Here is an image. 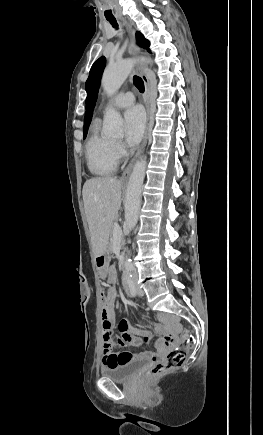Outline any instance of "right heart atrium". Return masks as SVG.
Wrapping results in <instances>:
<instances>
[{"instance_id":"obj_1","label":"right heart atrium","mask_w":263,"mask_h":435,"mask_svg":"<svg viewBox=\"0 0 263 435\" xmlns=\"http://www.w3.org/2000/svg\"><path fill=\"white\" fill-rule=\"evenodd\" d=\"M115 152L118 158L122 157L124 154V147L121 143H115Z\"/></svg>"}]
</instances>
